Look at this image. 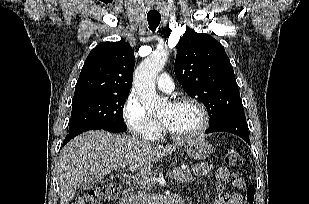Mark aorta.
Wrapping results in <instances>:
<instances>
[{
	"mask_svg": "<svg viewBox=\"0 0 309 204\" xmlns=\"http://www.w3.org/2000/svg\"><path fill=\"white\" fill-rule=\"evenodd\" d=\"M168 59V52L165 50L156 51L145 60L135 70V87L140 102L145 109L150 112H158L165 104V100L156 93L155 79L163 69Z\"/></svg>",
	"mask_w": 309,
	"mask_h": 204,
	"instance_id": "aorta-1",
	"label": "aorta"
}]
</instances>
